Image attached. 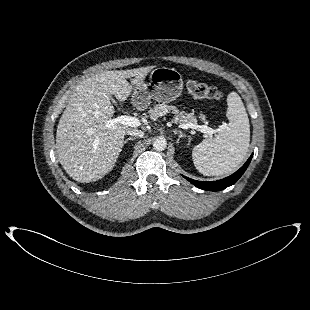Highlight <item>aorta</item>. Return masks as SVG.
<instances>
[{
    "instance_id": "aorta-1",
    "label": "aorta",
    "mask_w": 310,
    "mask_h": 310,
    "mask_svg": "<svg viewBox=\"0 0 310 310\" xmlns=\"http://www.w3.org/2000/svg\"><path fill=\"white\" fill-rule=\"evenodd\" d=\"M167 141L164 137H158L153 142V148L157 151H163L166 149Z\"/></svg>"
}]
</instances>
